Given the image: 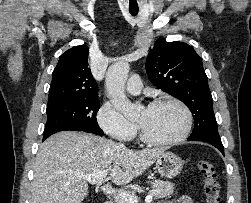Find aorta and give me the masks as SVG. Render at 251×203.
Returning a JSON list of instances; mask_svg holds the SVG:
<instances>
[{"label":"aorta","instance_id":"aorta-1","mask_svg":"<svg viewBox=\"0 0 251 203\" xmlns=\"http://www.w3.org/2000/svg\"><path fill=\"white\" fill-rule=\"evenodd\" d=\"M129 69V64L126 62H117L111 65L106 74L105 84L114 107L126 118L131 119L137 116L140 107L131 103L125 94Z\"/></svg>","mask_w":251,"mask_h":203}]
</instances>
